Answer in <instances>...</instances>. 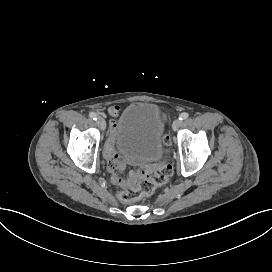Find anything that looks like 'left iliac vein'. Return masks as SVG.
Masks as SVG:
<instances>
[{
	"label": "left iliac vein",
	"instance_id": "4c4485c4",
	"mask_svg": "<svg viewBox=\"0 0 272 272\" xmlns=\"http://www.w3.org/2000/svg\"><path fill=\"white\" fill-rule=\"evenodd\" d=\"M180 126V120L177 119L173 122L172 128L174 131H176L178 129V127Z\"/></svg>",
	"mask_w": 272,
	"mask_h": 272
}]
</instances>
